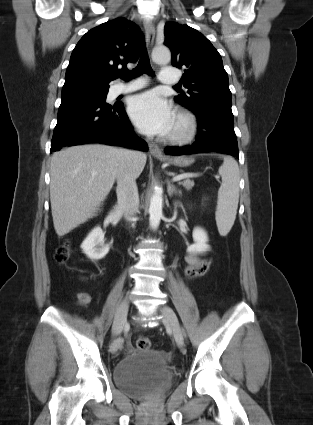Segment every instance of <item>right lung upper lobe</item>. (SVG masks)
Segmentation results:
<instances>
[{
	"label": "right lung upper lobe",
	"instance_id": "obj_1",
	"mask_svg": "<svg viewBox=\"0 0 313 425\" xmlns=\"http://www.w3.org/2000/svg\"><path fill=\"white\" fill-rule=\"evenodd\" d=\"M143 33L133 22L117 18L89 30L74 48L63 90L109 88L126 64L136 62ZM123 65L119 71L117 66Z\"/></svg>",
	"mask_w": 313,
	"mask_h": 425
}]
</instances>
